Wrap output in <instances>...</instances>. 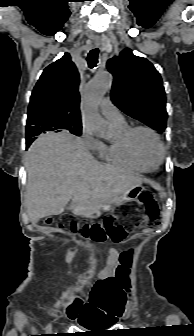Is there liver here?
<instances>
[{"label":"liver","mask_w":194,"mask_h":336,"mask_svg":"<svg viewBox=\"0 0 194 336\" xmlns=\"http://www.w3.org/2000/svg\"><path fill=\"white\" fill-rule=\"evenodd\" d=\"M27 213L32 224L61 214L71 201L74 215L115 204L142 184L131 171L99 163L83 142L68 133L47 134L25 156Z\"/></svg>","instance_id":"obj_1"}]
</instances>
